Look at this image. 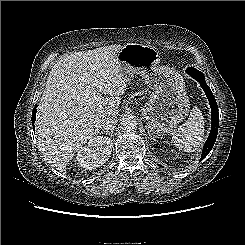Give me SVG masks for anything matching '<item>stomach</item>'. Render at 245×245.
Masks as SVG:
<instances>
[{
  "instance_id": "0dacf381",
  "label": "stomach",
  "mask_w": 245,
  "mask_h": 245,
  "mask_svg": "<svg viewBox=\"0 0 245 245\" xmlns=\"http://www.w3.org/2000/svg\"><path fill=\"white\" fill-rule=\"evenodd\" d=\"M117 59L127 82L138 74L154 90L142 109L148 128L155 136L172 132L190 109L182 75L169 67L159 66V52L149 45L128 43Z\"/></svg>"
}]
</instances>
